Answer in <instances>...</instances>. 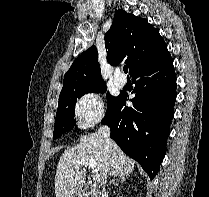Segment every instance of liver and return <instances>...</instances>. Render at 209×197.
Instances as JSON below:
<instances>
[{"label":"liver","mask_w":209,"mask_h":197,"mask_svg":"<svg viewBox=\"0 0 209 197\" xmlns=\"http://www.w3.org/2000/svg\"><path fill=\"white\" fill-rule=\"evenodd\" d=\"M86 158L94 160L102 182L108 175L129 176L135 165V162L126 156L114 141L111 140V144L108 145L98 133L82 136L78 145L64 151L57 164L56 197H71L84 185L87 170L76 169V165Z\"/></svg>","instance_id":"1"}]
</instances>
